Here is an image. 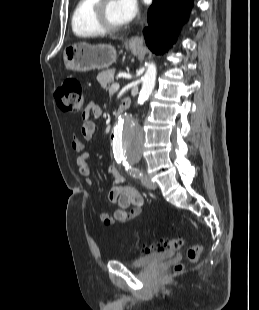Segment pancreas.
Here are the masks:
<instances>
[{
	"mask_svg": "<svg viewBox=\"0 0 259 310\" xmlns=\"http://www.w3.org/2000/svg\"><path fill=\"white\" fill-rule=\"evenodd\" d=\"M97 81L102 88L108 89L109 83L114 81V70L103 71L98 74Z\"/></svg>",
	"mask_w": 259,
	"mask_h": 310,
	"instance_id": "obj_1",
	"label": "pancreas"
}]
</instances>
